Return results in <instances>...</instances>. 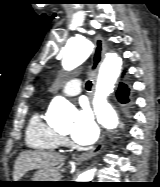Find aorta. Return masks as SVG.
I'll use <instances>...</instances> for the list:
<instances>
[{
  "label": "aorta",
  "mask_w": 160,
  "mask_h": 187,
  "mask_svg": "<svg viewBox=\"0 0 160 187\" xmlns=\"http://www.w3.org/2000/svg\"><path fill=\"white\" fill-rule=\"evenodd\" d=\"M92 43L84 37H75L67 42L63 50L62 66L65 70H72L82 64L92 53ZM122 59L115 53H108L101 64L95 96L94 111L98 122L106 129L113 130L118 126L116 112L107 102V97L113 92L114 84L120 75ZM73 106L63 97H55L50 103L47 117L51 123H58L70 119ZM95 169L81 173L77 182H92Z\"/></svg>",
  "instance_id": "762f6f07"
}]
</instances>
